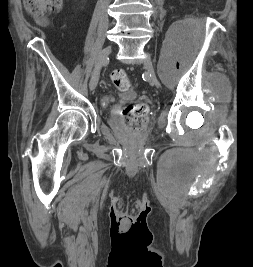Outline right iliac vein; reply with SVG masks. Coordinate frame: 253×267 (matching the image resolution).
Returning <instances> with one entry per match:
<instances>
[{
  "label": "right iliac vein",
  "mask_w": 253,
  "mask_h": 267,
  "mask_svg": "<svg viewBox=\"0 0 253 267\" xmlns=\"http://www.w3.org/2000/svg\"><path fill=\"white\" fill-rule=\"evenodd\" d=\"M112 49L111 47L104 48L97 59L94 71L92 73L91 79H90V88L95 89L98 83L99 79V72L101 66L106 62V59L108 58L109 54L111 53Z\"/></svg>",
  "instance_id": "obj_1"
}]
</instances>
